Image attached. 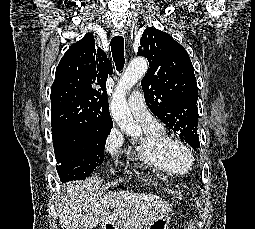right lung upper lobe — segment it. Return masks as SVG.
<instances>
[{
  "label": "right lung upper lobe",
  "mask_w": 255,
  "mask_h": 229,
  "mask_svg": "<svg viewBox=\"0 0 255 229\" xmlns=\"http://www.w3.org/2000/svg\"><path fill=\"white\" fill-rule=\"evenodd\" d=\"M112 72L105 52L95 49L92 33L74 43L56 68L51 88L52 129L110 131L113 122L106 81Z\"/></svg>",
  "instance_id": "right-lung-upper-lobe-1"
}]
</instances>
